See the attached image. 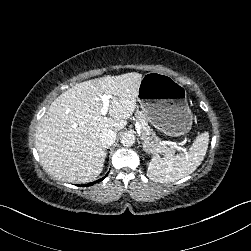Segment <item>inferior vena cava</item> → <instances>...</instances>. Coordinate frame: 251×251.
<instances>
[{
  "instance_id": "obj_1",
  "label": "inferior vena cava",
  "mask_w": 251,
  "mask_h": 251,
  "mask_svg": "<svg viewBox=\"0 0 251 251\" xmlns=\"http://www.w3.org/2000/svg\"><path fill=\"white\" fill-rule=\"evenodd\" d=\"M99 140H100L101 146L103 148H108L109 146H111L115 142L116 133H115V131H113L111 129H104L100 133Z\"/></svg>"
}]
</instances>
